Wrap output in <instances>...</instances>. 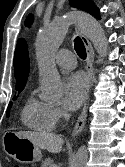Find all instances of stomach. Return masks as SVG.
I'll list each match as a JSON object with an SVG mask.
<instances>
[{"label":"stomach","mask_w":125,"mask_h":167,"mask_svg":"<svg viewBox=\"0 0 125 167\" xmlns=\"http://www.w3.org/2000/svg\"><path fill=\"white\" fill-rule=\"evenodd\" d=\"M6 136L8 140L6 143L4 142V150L16 161L32 163L39 162L42 159L41 150L30 140L13 132H8L4 137Z\"/></svg>","instance_id":"0dacf381"}]
</instances>
